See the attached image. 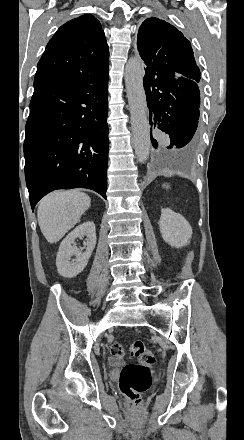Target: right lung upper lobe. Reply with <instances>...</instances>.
<instances>
[{
    "instance_id": "1",
    "label": "right lung upper lobe",
    "mask_w": 244,
    "mask_h": 440,
    "mask_svg": "<svg viewBox=\"0 0 244 440\" xmlns=\"http://www.w3.org/2000/svg\"><path fill=\"white\" fill-rule=\"evenodd\" d=\"M108 65V45L101 24L85 14L62 25L49 41L37 66L34 88Z\"/></svg>"
}]
</instances>
